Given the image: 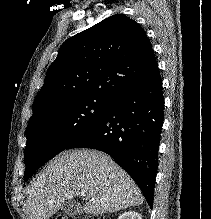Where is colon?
<instances>
[{"mask_svg": "<svg viewBox=\"0 0 211 219\" xmlns=\"http://www.w3.org/2000/svg\"><path fill=\"white\" fill-rule=\"evenodd\" d=\"M56 219H105L103 216H97V215H88V216H82V217H73L69 215H63L59 216Z\"/></svg>", "mask_w": 211, "mask_h": 219, "instance_id": "obj_1", "label": "colon"}]
</instances>
